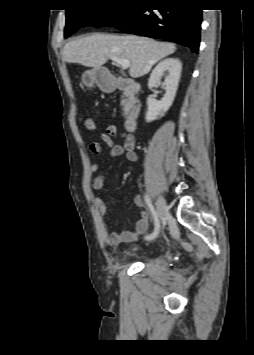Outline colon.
<instances>
[{
  "label": "colon",
  "instance_id": "1",
  "mask_svg": "<svg viewBox=\"0 0 254 355\" xmlns=\"http://www.w3.org/2000/svg\"><path fill=\"white\" fill-rule=\"evenodd\" d=\"M83 127L88 132H94L97 129V124L94 118L86 116L83 118Z\"/></svg>",
  "mask_w": 254,
  "mask_h": 355
}]
</instances>
